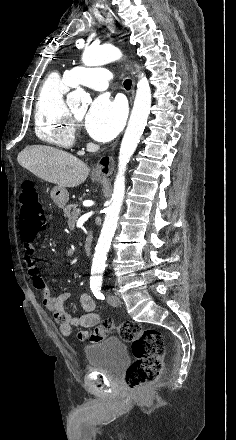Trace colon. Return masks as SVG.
<instances>
[{
  "label": "colon",
  "mask_w": 236,
  "mask_h": 440,
  "mask_svg": "<svg viewBox=\"0 0 236 440\" xmlns=\"http://www.w3.org/2000/svg\"><path fill=\"white\" fill-rule=\"evenodd\" d=\"M20 202L21 236L24 240L32 241L45 229L46 218L39 193L30 182H26L22 187ZM104 322L110 323V328L104 329L107 335L117 332L123 341L131 344L134 361L126 371V385L132 390H137L142 385L155 381L163 370L164 341L161 333L153 328H143L133 321L119 325L109 320Z\"/></svg>",
  "instance_id": "5ec220e1"
}]
</instances>
